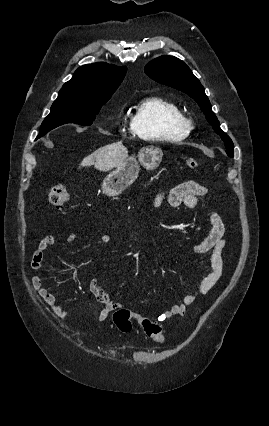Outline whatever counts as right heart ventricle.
Listing matches in <instances>:
<instances>
[{
	"label": "right heart ventricle",
	"mask_w": 269,
	"mask_h": 426,
	"mask_svg": "<svg viewBox=\"0 0 269 426\" xmlns=\"http://www.w3.org/2000/svg\"><path fill=\"white\" fill-rule=\"evenodd\" d=\"M183 117L181 109L173 101L148 96L134 108L130 127L133 133L146 141H179L188 135V130L181 124Z\"/></svg>",
	"instance_id": "1"
}]
</instances>
